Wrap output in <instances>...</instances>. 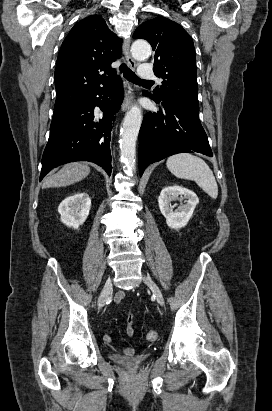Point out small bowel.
Wrapping results in <instances>:
<instances>
[{"label": "small bowel", "mask_w": 272, "mask_h": 411, "mask_svg": "<svg viewBox=\"0 0 272 411\" xmlns=\"http://www.w3.org/2000/svg\"><path fill=\"white\" fill-rule=\"evenodd\" d=\"M124 299H125V293L123 291H119L115 295V298H114L117 304H122V305H124ZM125 308H126V313H127L125 331L129 337H132L135 334V329H134L135 314L131 310L130 307L125 306ZM104 341L106 343H110L111 337L109 335H104ZM123 353L125 355H132L134 353V350L132 348H125L123 349Z\"/></svg>", "instance_id": "small-bowel-1"}]
</instances>
